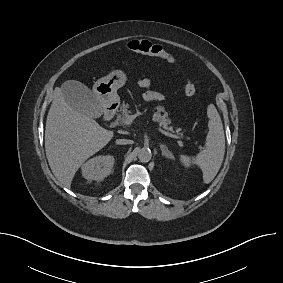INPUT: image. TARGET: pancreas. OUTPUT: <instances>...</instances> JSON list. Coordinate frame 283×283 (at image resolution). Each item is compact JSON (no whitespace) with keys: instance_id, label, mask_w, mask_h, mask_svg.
<instances>
[{"instance_id":"cf45deb5","label":"pancreas","mask_w":283,"mask_h":283,"mask_svg":"<svg viewBox=\"0 0 283 283\" xmlns=\"http://www.w3.org/2000/svg\"><path fill=\"white\" fill-rule=\"evenodd\" d=\"M154 110H156V112L153 113V120L158 122L159 126L165 130L174 132L173 127L170 126L171 120L168 118V114L166 112L161 114L164 109L161 106H158L155 107ZM130 113L131 111L129 110V104L123 103L120 107V113L117 116L116 123L119 125H124ZM176 133L182 135L179 128L176 129Z\"/></svg>"}]
</instances>
